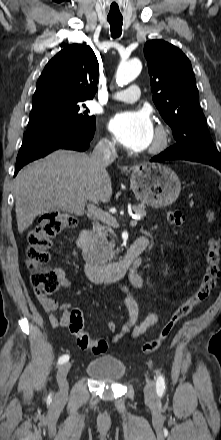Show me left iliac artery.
Here are the masks:
<instances>
[{"mask_svg": "<svg viewBox=\"0 0 221 440\" xmlns=\"http://www.w3.org/2000/svg\"><path fill=\"white\" fill-rule=\"evenodd\" d=\"M156 390L158 394H162L165 390V379L159 374L156 380Z\"/></svg>", "mask_w": 221, "mask_h": 440, "instance_id": "1", "label": "left iliac artery"}]
</instances>
